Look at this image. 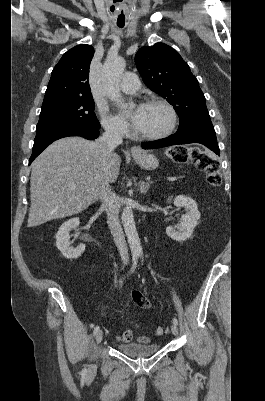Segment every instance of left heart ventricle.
I'll return each mask as SVG.
<instances>
[{
  "instance_id": "obj_1",
  "label": "left heart ventricle",
  "mask_w": 265,
  "mask_h": 401,
  "mask_svg": "<svg viewBox=\"0 0 265 401\" xmlns=\"http://www.w3.org/2000/svg\"><path fill=\"white\" fill-rule=\"evenodd\" d=\"M168 121V113L158 105H146L141 123L137 126L140 135L153 134L163 128Z\"/></svg>"
}]
</instances>
